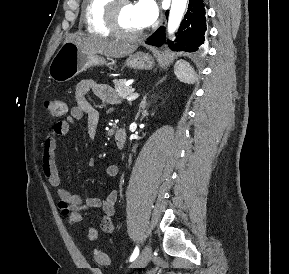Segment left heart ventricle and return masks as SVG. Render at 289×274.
<instances>
[{
    "mask_svg": "<svg viewBox=\"0 0 289 274\" xmlns=\"http://www.w3.org/2000/svg\"><path fill=\"white\" fill-rule=\"evenodd\" d=\"M119 23L122 29L127 32H136L143 29L136 17L134 5L132 3L124 4L121 7L119 12Z\"/></svg>",
    "mask_w": 289,
    "mask_h": 274,
    "instance_id": "1",
    "label": "left heart ventricle"
}]
</instances>
